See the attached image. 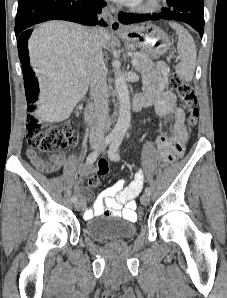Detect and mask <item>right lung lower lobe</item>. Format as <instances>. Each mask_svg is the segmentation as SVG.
Instances as JSON below:
<instances>
[{
    "label": "right lung lower lobe",
    "mask_w": 227,
    "mask_h": 298,
    "mask_svg": "<svg viewBox=\"0 0 227 298\" xmlns=\"http://www.w3.org/2000/svg\"><path fill=\"white\" fill-rule=\"evenodd\" d=\"M103 0H19L15 20V35L18 37V52L21 64L29 63L27 41L31 30L27 28L47 20H68L84 25L102 26L107 24L98 21L97 13L105 6ZM24 79L31 69L23 66Z\"/></svg>",
    "instance_id": "obj_1"
}]
</instances>
